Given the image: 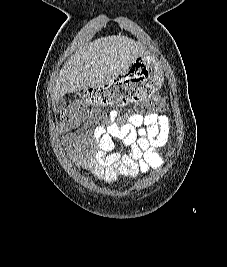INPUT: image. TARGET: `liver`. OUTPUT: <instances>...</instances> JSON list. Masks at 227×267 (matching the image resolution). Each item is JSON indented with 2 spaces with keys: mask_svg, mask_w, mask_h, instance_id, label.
Returning <instances> with one entry per match:
<instances>
[{
  "mask_svg": "<svg viewBox=\"0 0 227 267\" xmlns=\"http://www.w3.org/2000/svg\"><path fill=\"white\" fill-rule=\"evenodd\" d=\"M139 42L125 36H108L90 42L76 52L61 69L53 89V99L90 87H103L132 60L143 56Z\"/></svg>",
  "mask_w": 227,
  "mask_h": 267,
  "instance_id": "liver-1",
  "label": "liver"
}]
</instances>
